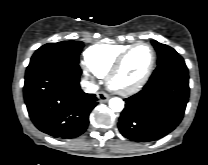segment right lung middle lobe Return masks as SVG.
Wrapping results in <instances>:
<instances>
[{
	"label": "right lung middle lobe",
	"mask_w": 208,
	"mask_h": 165,
	"mask_svg": "<svg viewBox=\"0 0 208 165\" xmlns=\"http://www.w3.org/2000/svg\"><path fill=\"white\" fill-rule=\"evenodd\" d=\"M83 46V42L73 40L45 44L36 50L29 65L51 57H65L74 63H79L78 55Z\"/></svg>",
	"instance_id": "dd1d6c3e"
}]
</instances>
